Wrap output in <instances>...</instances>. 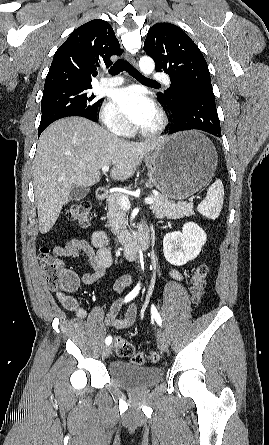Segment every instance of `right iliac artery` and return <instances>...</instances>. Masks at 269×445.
Listing matches in <instances>:
<instances>
[{
	"label": "right iliac artery",
	"instance_id": "1",
	"mask_svg": "<svg viewBox=\"0 0 269 445\" xmlns=\"http://www.w3.org/2000/svg\"><path fill=\"white\" fill-rule=\"evenodd\" d=\"M139 290H140V283H138L136 287L125 297L124 302L127 303L132 299H134L138 295ZM111 342H112V337L108 336L105 340L106 345H109Z\"/></svg>",
	"mask_w": 269,
	"mask_h": 445
}]
</instances>
